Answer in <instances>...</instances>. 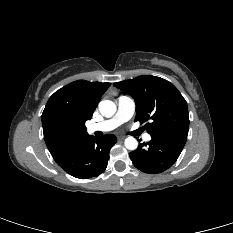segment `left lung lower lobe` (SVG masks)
Returning <instances> with one entry per match:
<instances>
[{"label": "left lung lower lobe", "instance_id": "left-lung-lower-lobe-1", "mask_svg": "<svg viewBox=\"0 0 233 233\" xmlns=\"http://www.w3.org/2000/svg\"><path fill=\"white\" fill-rule=\"evenodd\" d=\"M188 133L173 132L152 136L148 143H142L129 153L136 168L145 173H161L170 168L179 157Z\"/></svg>", "mask_w": 233, "mask_h": 233}]
</instances>
